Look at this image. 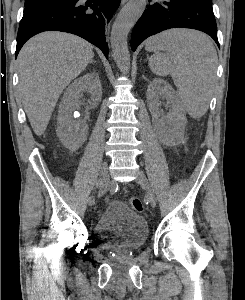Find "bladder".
Instances as JSON below:
<instances>
[{"label":"bladder","mask_w":245,"mask_h":300,"mask_svg":"<svg viewBox=\"0 0 245 300\" xmlns=\"http://www.w3.org/2000/svg\"><path fill=\"white\" fill-rule=\"evenodd\" d=\"M98 243L116 253L134 251L147 240L148 224L145 218L130 210L121 201H112L97 218L93 227Z\"/></svg>","instance_id":"31cf9c89"}]
</instances>
